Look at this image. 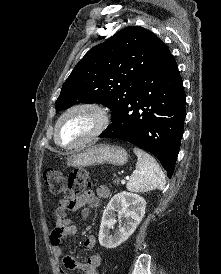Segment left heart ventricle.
<instances>
[{
	"label": "left heart ventricle",
	"mask_w": 221,
	"mask_h": 274,
	"mask_svg": "<svg viewBox=\"0 0 221 274\" xmlns=\"http://www.w3.org/2000/svg\"><path fill=\"white\" fill-rule=\"evenodd\" d=\"M95 125L93 116L87 112H75L63 120L59 129V140L63 144H74L90 133Z\"/></svg>",
	"instance_id": "obj_1"
}]
</instances>
